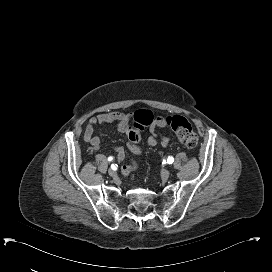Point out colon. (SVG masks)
<instances>
[{"label":"colon","instance_id":"obj_1","mask_svg":"<svg viewBox=\"0 0 272 272\" xmlns=\"http://www.w3.org/2000/svg\"><path fill=\"white\" fill-rule=\"evenodd\" d=\"M149 118V115L145 112L135 113L131 118L132 126L136 129H140L147 125ZM163 122L165 126H168L175 132L180 142L186 148L192 150L197 146L198 137L186 118L180 115H174L164 118ZM129 140L131 144H136L140 140L139 133L132 130L129 134Z\"/></svg>","mask_w":272,"mask_h":272}]
</instances>
